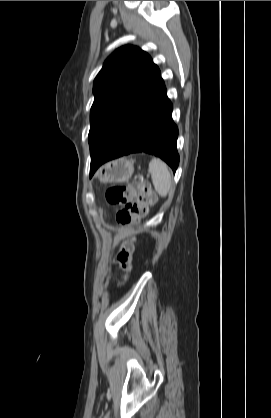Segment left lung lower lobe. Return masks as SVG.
I'll return each instance as SVG.
<instances>
[{"label": "left lung lower lobe", "instance_id": "1", "mask_svg": "<svg viewBox=\"0 0 271 418\" xmlns=\"http://www.w3.org/2000/svg\"><path fill=\"white\" fill-rule=\"evenodd\" d=\"M178 128L172 120V103L161 77L116 126L91 159L90 176L103 163L145 152L163 159L173 170L179 164Z\"/></svg>", "mask_w": 271, "mask_h": 418}]
</instances>
